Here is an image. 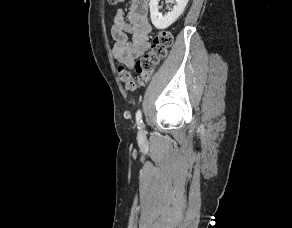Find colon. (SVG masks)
I'll use <instances>...</instances> for the list:
<instances>
[{"instance_id":"obj_1","label":"colon","mask_w":292,"mask_h":228,"mask_svg":"<svg viewBox=\"0 0 292 228\" xmlns=\"http://www.w3.org/2000/svg\"><path fill=\"white\" fill-rule=\"evenodd\" d=\"M123 0H109L111 4H118ZM172 35L166 30L158 31L154 37L151 49L137 60L135 70L137 79H133L124 68L119 69V77L129 91L135 90L139 86L146 85L159 63L167 56L172 45Z\"/></svg>"}]
</instances>
